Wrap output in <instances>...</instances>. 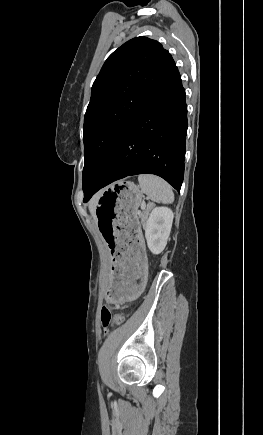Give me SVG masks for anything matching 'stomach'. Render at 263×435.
Segmentation results:
<instances>
[{
	"mask_svg": "<svg viewBox=\"0 0 263 435\" xmlns=\"http://www.w3.org/2000/svg\"><path fill=\"white\" fill-rule=\"evenodd\" d=\"M142 193L132 181L120 180L103 190L96 201L98 233H103L111 262V305H133L150 282L146 274L145 234L138 207Z\"/></svg>",
	"mask_w": 263,
	"mask_h": 435,
	"instance_id": "obj_1",
	"label": "stomach"
}]
</instances>
